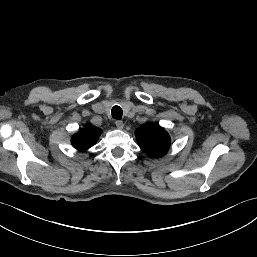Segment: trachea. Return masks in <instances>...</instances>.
<instances>
[{"label":"trachea","instance_id":"1","mask_svg":"<svg viewBox=\"0 0 257 257\" xmlns=\"http://www.w3.org/2000/svg\"><path fill=\"white\" fill-rule=\"evenodd\" d=\"M111 114H112V117H113L114 119L120 120V119L122 118L123 112H122V109H121L119 106L116 105V106H114V107L112 108Z\"/></svg>","mask_w":257,"mask_h":257}]
</instances>
